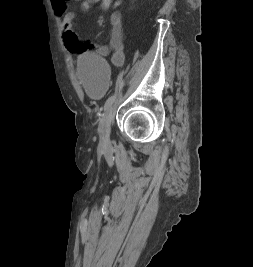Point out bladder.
I'll list each match as a JSON object with an SVG mask.
<instances>
[{
	"mask_svg": "<svg viewBox=\"0 0 253 267\" xmlns=\"http://www.w3.org/2000/svg\"><path fill=\"white\" fill-rule=\"evenodd\" d=\"M108 67L105 59L95 53L82 54L77 63V77L91 97H102L108 88Z\"/></svg>",
	"mask_w": 253,
	"mask_h": 267,
	"instance_id": "1",
	"label": "bladder"
}]
</instances>
